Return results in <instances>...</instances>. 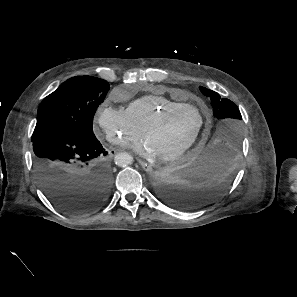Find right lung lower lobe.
Instances as JSON below:
<instances>
[{"label": "right lung lower lobe", "mask_w": 297, "mask_h": 297, "mask_svg": "<svg viewBox=\"0 0 297 297\" xmlns=\"http://www.w3.org/2000/svg\"><path fill=\"white\" fill-rule=\"evenodd\" d=\"M31 140L39 184L54 206L79 215L103 205L113 176L105 160L108 152L96 137L56 131Z\"/></svg>", "instance_id": "obj_1"}]
</instances>
